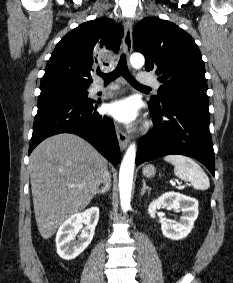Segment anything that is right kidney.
Masks as SVG:
<instances>
[{"label":"right kidney","mask_w":233,"mask_h":283,"mask_svg":"<svg viewBox=\"0 0 233 283\" xmlns=\"http://www.w3.org/2000/svg\"><path fill=\"white\" fill-rule=\"evenodd\" d=\"M99 219V208L92 207L82 213L69 217L58 229L56 234V247L58 255L65 260H72L80 255L90 244L95 233ZM81 231L77 241H74L78 231Z\"/></svg>","instance_id":"1"}]
</instances>
